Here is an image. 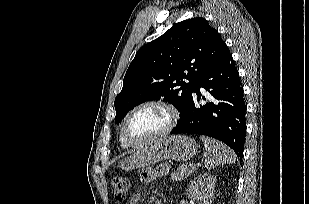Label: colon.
<instances>
[{
  "mask_svg": "<svg viewBox=\"0 0 309 204\" xmlns=\"http://www.w3.org/2000/svg\"><path fill=\"white\" fill-rule=\"evenodd\" d=\"M129 179L126 176H116L112 180V190L117 200H123L129 189Z\"/></svg>",
  "mask_w": 309,
  "mask_h": 204,
  "instance_id": "obj_1",
  "label": "colon"
}]
</instances>
